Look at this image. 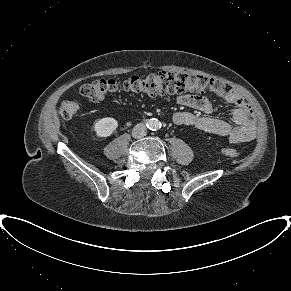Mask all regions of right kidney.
<instances>
[{
    "label": "right kidney",
    "instance_id": "obj_1",
    "mask_svg": "<svg viewBox=\"0 0 291 291\" xmlns=\"http://www.w3.org/2000/svg\"><path fill=\"white\" fill-rule=\"evenodd\" d=\"M118 127V121L111 117L102 118L94 123L93 129L98 138H106L113 134Z\"/></svg>",
    "mask_w": 291,
    "mask_h": 291
}]
</instances>
